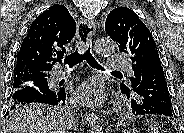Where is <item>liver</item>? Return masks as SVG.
Returning <instances> with one entry per match:
<instances>
[{
    "label": "liver",
    "mask_w": 184,
    "mask_h": 133,
    "mask_svg": "<svg viewBox=\"0 0 184 133\" xmlns=\"http://www.w3.org/2000/svg\"><path fill=\"white\" fill-rule=\"evenodd\" d=\"M5 133H68L65 119L48 105L29 104L13 113Z\"/></svg>",
    "instance_id": "1"
}]
</instances>
